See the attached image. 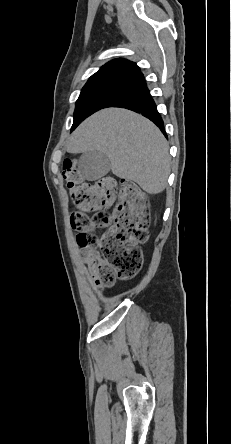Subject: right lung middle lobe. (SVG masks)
<instances>
[{
	"instance_id": "right-lung-middle-lobe-1",
	"label": "right lung middle lobe",
	"mask_w": 231,
	"mask_h": 444,
	"mask_svg": "<svg viewBox=\"0 0 231 444\" xmlns=\"http://www.w3.org/2000/svg\"><path fill=\"white\" fill-rule=\"evenodd\" d=\"M125 94H127L126 90L114 85H101L82 89L76 102L74 122L71 130H74L85 118L94 112L110 107Z\"/></svg>"
}]
</instances>
